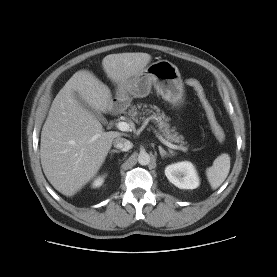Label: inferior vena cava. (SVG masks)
Listing matches in <instances>:
<instances>
[{"mask_svg": "<svg viewBox=\"0 0 277 277\" xmlns=\"http://www.w3.org/2000/svg\"><path fill=\"white\" fill-rule=\"evenodd\" d=\"M113 144L115 148L122 151H128L133 147V144L129 140L121 137L116 138Z\"/></svg>", "mask_w": 277, "mask_h": 277, "instance_id": "obj_1", "label": "inferior vena cava"}]
</instances>
